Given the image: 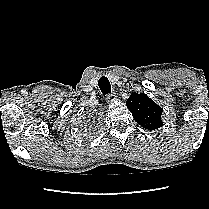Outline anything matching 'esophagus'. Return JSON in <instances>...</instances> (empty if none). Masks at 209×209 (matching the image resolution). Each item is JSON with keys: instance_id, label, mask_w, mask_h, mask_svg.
I'll use <instances>...</instances> for the list:
<instances>
[{"instance_id": "1", "label": "esophagus", "mask_w": 209, "mask_h": 209, "mask_svg": "<svg viewBox=\"0 0 209 209\" xmlns=\"http://www.w3.org/2000/svg\"><path fill=\"white\" fill-rule=\"evenodd\" d=\"M107 102H113L115 100H117V96L115 93L109 94L106 97Z\"/></svg>"}]
</instances>
